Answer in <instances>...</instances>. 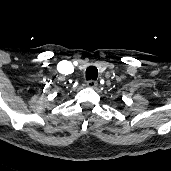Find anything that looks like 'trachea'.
<instances>
[{"label": "trachea", "mask_w": 171, "mask_h": 171, "mask_svg": "<svg viewBox=\"0 0 171 171\" xmlns=\"http://www.w3.org/2000/svg\"><path fill=\"white\" fill-rule=\"evenodd\" d=\"M98 77V69L94 66H90L86 69V79L96 80Z\"/></svg>", "instance_id": "trachea-1"}]
</instances>
